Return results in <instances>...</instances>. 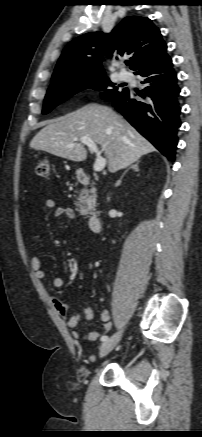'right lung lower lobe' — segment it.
Listing matches in <instances>:
<instances>
[{"label": "right lung lower lobe", "instance_id": "obj_1", "mask_svg": "<svg viewBox=\"0 0 202 437\" xmlns=\"http://www.w3.org/2000/svg\"><path fill=\"white\" fill-rule=\"evenodd\" d=\"M134 73L143 77V93L124 89L107 101L173 162L181 126V107L180 88L172 59L166 55L162 60ZM137 94L141 99H135Z\"/></svg>", "mask_w": 202, "mask_h": 437}]
</instances>
